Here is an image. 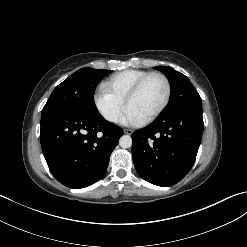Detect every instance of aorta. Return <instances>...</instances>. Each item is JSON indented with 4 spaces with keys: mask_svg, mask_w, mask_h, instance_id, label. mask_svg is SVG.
I'll list each match as a JSON object with an SVG mask.
<instances>
[{
    "mask_svg": "<svg viewBox=\"0 0 247 247\" xmlns=\"http://www.w3.org/2000/svg\"><path fill=\"white\" fill-rule=\"evenodd\" d=\"M119 145L122 148H130L132 146V138L129 135H123L119 139Z\"/></svg>",
    "mask_w": 247,
    "mask_h": 247,
    "instance_id": "762f6f07",
    "label": "aorta"
}]
</instances>
